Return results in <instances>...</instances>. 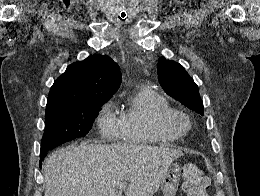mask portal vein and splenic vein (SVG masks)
<instances>
[{"mask_svg":"<svg viewBox=\"0 0 260 196\" xmlns=\"http://www.w3.org/2000/svg\"><path fill=\"white\" fill-rule=\"evenodd\" d=\"M119 190H125V188H127V182H122V184H120V186H118Z\"/></svg>","mask_w":260,"mask_h":196,"instance_id":"obj_1","label":"portal vein and splenic vein"}]
</instances>
